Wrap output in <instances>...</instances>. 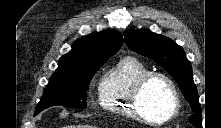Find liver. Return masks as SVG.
<instances>
[{
    "mask_svg": "<svg viewBox=\"0 0 221 128\" xmlns=\"http://www.w3.org/2000/svg\"><path fill=\"white\" fill-rule=\"evenodd\" d=\"M67 128H92V127L88 125H76V126H69Z\"/></svg>",
    "mask_w": 221,
    "mask_h": 128,
    "instance_id": "6515ba94",
    "label": "liver"
}]
</instances>
